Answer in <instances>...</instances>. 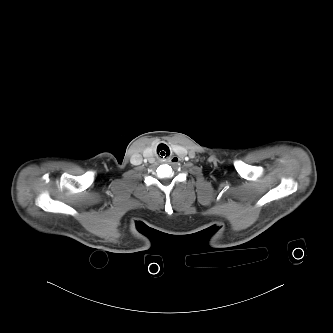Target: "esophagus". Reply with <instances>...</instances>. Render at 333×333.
Segmentation results:
<instances>
[{
  "instance_id": "34e87169",
  "label": "esophagus",
  "mask_w": 333,
  "mask_h": 333,
  "mask_svg": "<svg viewBox=\"0 0 333 333\" xmlns=\"http://www.w3.org/2000/svg\"><path fill=\"white\" fill-rule=\"evenodd\" d=\"M179 161H180V159L177 156H172L170 159V162H172V163H178Z\"/></svg>"
}]
</instances>
